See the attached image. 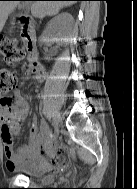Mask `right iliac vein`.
Instances as JSON below:
<instances>
[{
  "mask_svg": "<svg viewBox=\"0 0 137 189\" xmlns=\"http://www.w3.org/2000/svg\"><path fill=\"white\" fill-rule=\"evenodd\" d=\"M60 120H61L60 114L57 113V114L54 116L53 121H52V125H53L55 131H57V129H58Z\"/></svg>",
  "mask_w": 137,
  "mask_h": 189,
  "instance_id": "1",
  "label": "right iliac vein"
}]
</instances>
